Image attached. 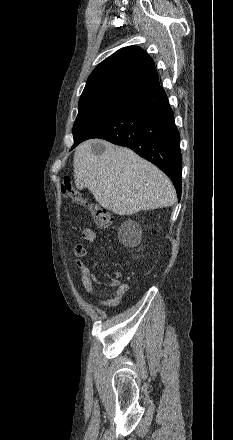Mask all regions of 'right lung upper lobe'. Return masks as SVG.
<instances>
[{
    "label": "right lung upper lobe",
    "mask_w": 233,
    "mask_h": 440,
    "mask_svg": "<svg viewBox=\"0 0 233 440\" xmlns=\"http://www.w3.org/2000/svg\"><path fill=\"white\" fill-rule=\"evenodd\" d=\"M153 59L137 46L124 47L102 61L90 74L79 102H129L159 87Z\"/></svg>",
    "instance_id": "cb5924a9"
}]
</instances>
